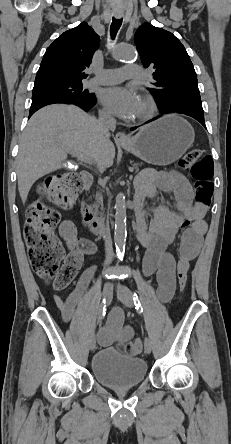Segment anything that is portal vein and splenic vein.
<instances>
[{
  "label": "portal vein and splenic vein",
  "instance_id": "portal-vein-and-splenic-vein-1",
  "mask_svg": "<svg viewBox=\"0 0 231 444\" xmlns=\"http://www.w3.org/2000/svg\"><path fill=\"white\" fill-rule=\"evenodd\" d=\"M69 153H71L72 155L76 156L78 158V160H80L82 162H85V163H88V164H92L93 163V161L85 154L77 153V152H69Z\"/></svg>",
  "mask_w": 231,
  "mask_h": 444
}]
</instances>
